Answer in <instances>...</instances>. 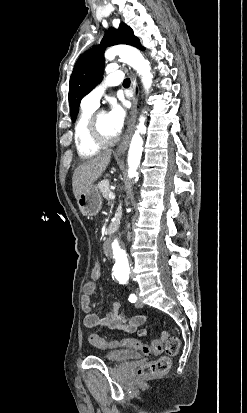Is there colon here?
<instances>
[{
  "label": "colon",
  "instance_id": "5ec220e1",
  "mask_svg": "<svg viewBox=\"0 0 247 413\" xmlns=\"http://www.w3.org/2000/svg\"><path fill=\"white\" fill-rule=\"evenodd\" d=\"M92 273L94 275H99L101 273V264L99 262H94L92 264ZM89 342L97 347L103 348H114L117 346L130 347L136 350H140L145 354H151V344L154 345L153 354L155 356H160L162 350L164 349L165 343L171 344V349L166 350L168 355H179L181 349L179 347V339L177 337H171L169 332H166L164 329H161L160 332H157V336H152L150 338L151 344L143 343L142 341L136 338H129L123 340H112L104 341L99 338L97 335L91 334L89 336ZM170 368V359L162 356L156 361L145 364L138 375L140 381H147L149 377L162 374L169 370Z\"/></svg>",
  "mask_w": 247,
  "mask_h": 413
}]
</instances>
